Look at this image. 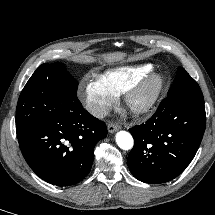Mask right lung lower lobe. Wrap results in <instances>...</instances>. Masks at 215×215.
Segmentation results:
<instances>
[{"mask_svg":"<svg viewBox=\"0 0 215 215\" xmlns=\"http://www.w3.org/2000/svg\"><path fill=\"white\" fill-rule=\"evenodd\" d=\"M106 135L105 123L89 114L76 95L17 137L26 162L41 179L69 186L87 176L95 144Z\"/></svg>","mask_w":215,"mask_h":215,"instance_id":"obj_1","label":"right lung lower lobe"}]
</instances>
